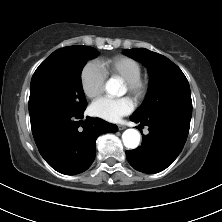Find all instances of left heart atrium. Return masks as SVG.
<instances>
[{
    "instance_id": "1",
    "label": "left heart atrium",
    "mask_w": 222,
    "mask_h": 222,
    "mask_svg": "<svg viewBox=\"0 0 222 222\" xmlns=\"http://www.w3.org/2000/svg\"><path fill=\"white\" fill-rule=\"evenodd\" d=\"M134 109V103L129 97L112 99L100 97L90 105V113L101 119L116 122L121 117L130 114Z\"/></svg>"
}]
</instances>
